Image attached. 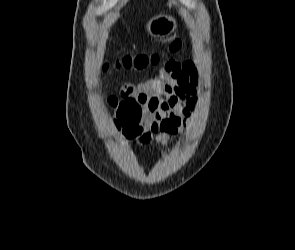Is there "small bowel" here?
I'll return each instance as SVG.
<instances>
[{
	"instance_id": "small-bowel-1",
	"label": "small bowel",
	"mask_w": 295,
	"mask_h": 250,
	"mask_svg": "<svg viewBox=\"0 0 295 250\" xmlns=\"http://www.w3.org/2000/svg\"><path fill=\"white\" fill-rule=\"evenodd\" d=\"M199 74L191 61L168 60L156 77L138 84L125 83L119 89L123 99L137 100L143 117L133 129L123 130L128 145L156 141L169 145L171 137L188 128L198 104Z\"/></svg>"
}]
</instances>
